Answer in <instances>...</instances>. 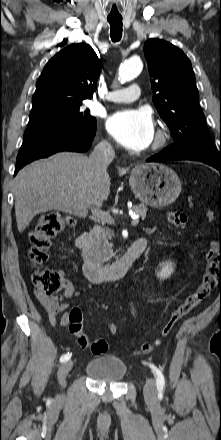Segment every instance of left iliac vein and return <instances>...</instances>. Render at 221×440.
<instances>
[{
	"label": "left iliac vein",
	"mask_w": 221,
	"mask_h": 440,
	"mask_svg": "<svg viewBox=\"0 0 221 440\" xmlns=\"http://www.w3.org/2000/svg\"><path fill=\"white\" fill-rule=\"evenodd\" d=\"M143 392L147 400L156 398V382L153 378L147 379Z\"/></svg>",
	"instance_id": "4c4485c4"
}]
</instances>
